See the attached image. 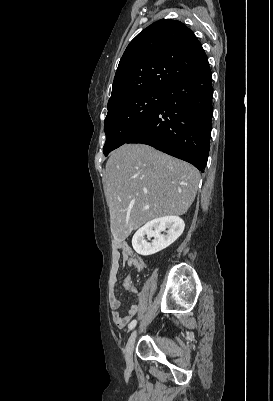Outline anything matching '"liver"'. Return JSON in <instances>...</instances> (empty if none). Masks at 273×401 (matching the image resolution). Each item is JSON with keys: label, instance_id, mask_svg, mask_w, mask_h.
Wrapping results in <instances>:
<instances>
[{"label": "liver", "instance_id": "6515ba94", "mask_svg": "<svg viewBox=\"0 0 273 401\" xmlns=\"http://www.w3.org/2000/svg\"><path fill=\"white\" fill-rule=\"evenodd\" d=\"M199 180L195 166L148 144L113 150L106 162L104 192L114 241L122 243L151 219L187 213Z\"/></svg>", "mask_w": 273, "mask_h": 401}]
</instances>
